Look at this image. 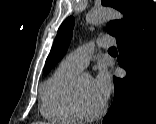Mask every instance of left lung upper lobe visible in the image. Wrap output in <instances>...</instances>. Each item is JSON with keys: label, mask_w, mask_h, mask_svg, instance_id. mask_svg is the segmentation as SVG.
Segmentation results:
<instances>
[{"label": "left lung upper lobe", "mask_w": 156, "mask_h": 124, "mask_svg": "<svg viewBox=\"0 0 156 124\" xmlns=\"http://www.w3.org/2000/svg\"><path fill=\"white\" fill-rule=\"evenodd\" d=\"M148 0H102V5L113 7L123 13L124 19L111 21L106 25V31L116 37L127 30L138 13ZM74 18H67L60 26L57 36L54 40L52 49L47 57L44 74H47L63 57L72 37Z\"/></svg>", "instance_id": "5c2ea615"}]
</instances>
